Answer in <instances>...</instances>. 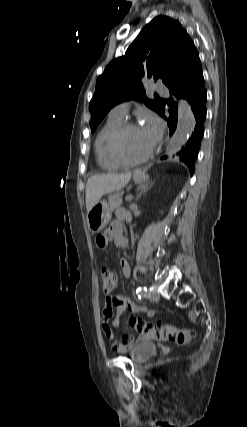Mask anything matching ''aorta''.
Instances as JSON below:
<instances>
[{"label":"aorta","instance_id":"obj_1","mask_svg":"<svg viewBox=\"0 0 247 427\" xmlns=\"http://www.w3.org/2000/svg\"><path fill=\"white\" fill-rule=\"evenodd\" d=\"M196 125L192 109L187 101L182 100L178 106L177 128L165 148V155L179 151L187 142Z\"/></svg>","mask_w":247,"mask_h":427}]
</instances>
